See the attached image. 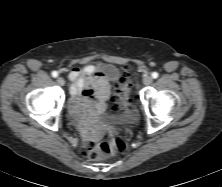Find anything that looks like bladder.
I'll use <instances>...</instances> for the list:
<instances>
[{
	"label": "bladder",
	"instance_id": "31cf9c89",
	"mask_svg": "<svg viewBox=\"0 0 222 187\" xmlns=\"http://www.w3.org/2000/svg\"><path fill=\"white\" fill-rule=\"evenodd\" d=\"M101 73L107 82H115L117 80V69L112 65L103 67ZM137 117L136 108L134 106H126L119 114L104 113L98 116L97 119L116 126H129L136 121Z\"/></svg>",
	"mask_w": 222,
	"mask_h": 187
}]
</instances>
